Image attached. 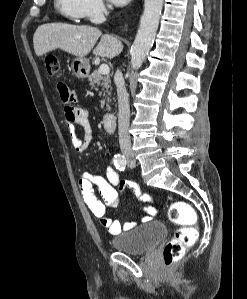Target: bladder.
<instances>
[{
  "mask_svg": "<svg viewBox=\"0 0 247 299\" xmlns=\"http://www.w3.org/2000/svg\"><path fill=\"white\" fill-rule=\"evenodd\" d=\"M163 223L150 221L145 225L124 231L111 240L112 246L120 252L141 255L152 250L166 235Z\"/></svg>",
  "mask_w": 247,
  "mask_h": 299,
  "instance_id": "bladder-1",
  "label": "bladder"
}]
</instances>
